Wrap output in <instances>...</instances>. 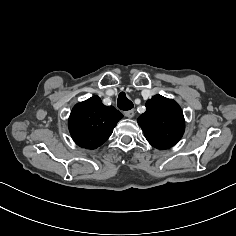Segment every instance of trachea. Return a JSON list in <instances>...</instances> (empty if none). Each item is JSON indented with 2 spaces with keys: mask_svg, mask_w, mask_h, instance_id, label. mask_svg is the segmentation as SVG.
Wrapping results in <instances>:
<instances>
[{
  "mask_svg": "<svg viewBox=\"0 0 236 236\" xmlns=\"http://www.w3.org/2000/svg\"><path fill=\"white\" fill-rule=\"evenodd\" d=\"M117 106L121 110H130L134 107L133 103L126 97L124 92H121L118 96Z\"/></svg>",
  "mask_w": 236,
  "mask_h": 236,
  "instance_id": "trachea-1",
  "label": "trachea"
}]
</instances>
